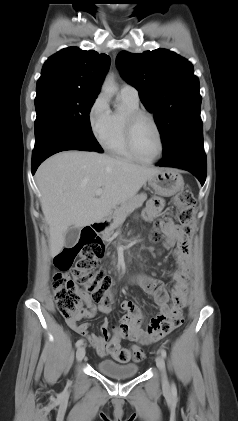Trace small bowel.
Returning a JSON list of instances; mask_svg holds the SVG:
<instances>
[{"label":"small bowel","mask_w":238,"mask_h":421,"mask_svg":"<svg viewBox=\"0 0 238 421\" xmlns=\"http://www.w3.org/2000/svg\"><path fill=\"white\" fill-rule=\"evenodd\" d=\"M163 208V200L155 198L147 203L144 211L145 220L149 221L155 217ZM163 232L166 240L164 247L172 248V255L175 259L177 269L172 273L171 279L173 286L167 291L163 282L148 276L138 275L133 282L151 295L158 305L159 313L150 321L148 327L143 329V314L138 305L126 299L121 303L122 309L126 315L122 318L120 325L115 327L113 334L109 331L107 319H103L100 324V333H89L88 323H79L81 318H92L97 313L109 314L111 306L95 304L91 300L86 302L87 309L76 319H67L68 326L81 336L86 337L90 345L97 353L104 357L113 355L114 350L120 347L122 339L131 341L147 340L156 333L162 322L169 314L175 310H182L187 306L189 297V277L191 271L190 243L186 237L172 221H166L163 226Z\"/></svg>","instance_id":"small-bowel-1"}]
</instances>
